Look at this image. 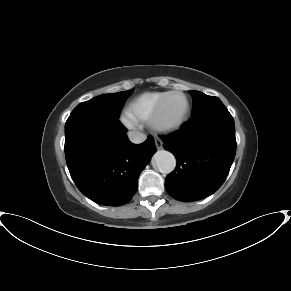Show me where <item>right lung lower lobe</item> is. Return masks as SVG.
<instances>
[{
	"mask_svg": "<svg viewBox=\"0 0 291 291\" xmlns=\"http://www.w3.org/2000/svg\"><path fill=\"white\" fill-rule=\"evenodd\" d=\"M118 119L76 113L65 124V156L78 189L100 205L128 203L138 189V177L156 152L154 139L129 141Z\"/></svg>",
	"mask_w": 291,
	"mask_h": 291,
	"instance_id": "98d812e1",
	"label": "right lung lower lobe"
}]
</instances>
